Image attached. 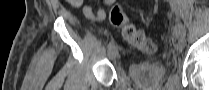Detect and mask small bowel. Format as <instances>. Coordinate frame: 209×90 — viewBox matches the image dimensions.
Returning a JSON list of instances; mask_svg holds the SVG:
<instances>
[{"instance_id": "small-bowel-1", "label": "small bowel", "mask_w": 209, "mask_h": 90, "mask_svg": "<svg viewBox=\"0 0 209 90\" xmlns=\"http://www.w3.org/2000/svg\"><path fill=\"white\" fill-rule=\"evenodd\" d=\"M108 2L109 1H106V3H108ZM83 13L88 19H90L92 21L103 20L106 17V11L105 10L101 9V10H99L95 13L91 6H85L83 8Z\"/></svg>"}]
</instances>
